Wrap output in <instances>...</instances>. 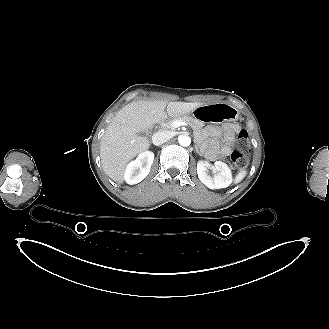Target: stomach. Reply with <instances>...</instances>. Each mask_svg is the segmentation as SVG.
<instances>
[{
	"instance_id": "obj_1",
	"label": "stomach",
	"mask_w": 329,
	"mask_h": 329,
	"mask_svg": "<svg viewBox=\"0 0 329 329\" xmlns=\"http://www.w3.org/2000/svg\"><path fill=\"white\" fill-rule=\"evenodd\" d=\"M203 123L221 122L223 120L234 122L238 119L236 109L225 103L205 104L191 113Z\"/></svg>"
}]
</instances>
